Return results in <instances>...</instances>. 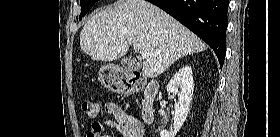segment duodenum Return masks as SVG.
<instances>
[{"label": "duodenum", "mask_w": 280, "mask_h": 137, "mask_svg": "<svg viewBox=\"0 0 280 137\" xmlns=\"http://www.w3.org/2000/svg\"><path fill=\"white\" fill-rule=\"evenodd\" d=\"M133 92H142L140 112L145 123H153L155 120V99L159 93L160 86L156 81L143 84L140 80L133 78L131 83Z\"/></svg>", "instance_id": "1"}]
</instances>
